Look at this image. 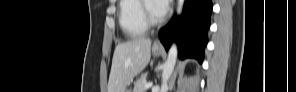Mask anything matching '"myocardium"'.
<instances>
[{
    "mask_svg": "<svg viewBox=\"0 0 296 92\" xmlns=\"http://www.w3.org/2000/svg\"><path fill=\"white\" fill-rule=\"evenodd\" d=\"M151 1H142V12H141V17L144 22V24L147 27H155L161 24L162 18H154L151 10H150V3Z\"/></svg>",
    "mask_w": 296,
    "mask_h": 92,
    "instance_id": "1",
    "label": "myocardium"
}]
</instances>
